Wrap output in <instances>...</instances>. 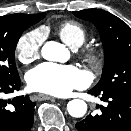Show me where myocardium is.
Listing matches in <instances>:
<instances>
[{
    "label": "myocardium",
    "mask_w": 131,
    "mask_h": 131,
    "mask_svg": "<svg viewBox=\"0 0 131 131\" xmlns=\"http://www.w3.org/2000/svg\"><path fill=\"white\" fill-rule=\"evenodd\" d=\"M82 59L92 68H99L103 63L102 52L97 48H87L82 52Z\"/></svg>",
    "instance_id": "f54148a6"
}]
</instances>
